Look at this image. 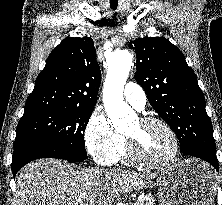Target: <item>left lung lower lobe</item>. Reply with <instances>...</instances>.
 Segmentation results:
<instances>
[{"instance_id":"obj_1","label":"left lung lower lobe","mask_w":222,"mask_h":205,"mask_svg":"<svg viewBox=\"0 0 222 205\" xmlns=\"http://www.w3.org/2000/svg\"><path fill=\"white\" fill-rule=\"evenodd\" d=\"M187 156L206 161L207 163L211 164L216 169V171H219V165H218V160L216 156H210V155H205V154H200V153H191V154H187Z\"/></svg>"}]
</instances>
